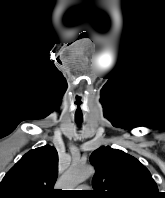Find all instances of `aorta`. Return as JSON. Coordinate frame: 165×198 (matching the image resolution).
<instances>
[{
	"label": "aorta",
	"mask_w": 165,
	"mask_h": 198,
	"mask_svg": "<svg viewBox=\"0 0 165 198\" xmlns=\"http://www.w3.org/2000/svg\"><path fill=\"white\" fill-rule=\"evenodd\" d=\"M93 174L94 168L92 166L74 162L62 176L60 186L64 190H73Z\"/></svg>",
	"instance_id": "762f6f07"
}]
</instances>
